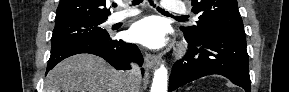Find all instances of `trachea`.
<instances>
[{
    "mask_svg": "<svg viewBox=\"0 0 289 92\" xmlns=\"http://www.w3.org/2000/svg\"><path fill=\"white\" fill-rule=\"evenodd\" d=\"M143 0H134L133 1V5H137V4H139V3H141ZM150 4L151 5H153V2L152 1H150ZM117 5L116 4H114L113 5V7H116ZM159 11H161V12H163V13H167V12H165L163 9H160L159 7L157 8ZM168 14V13H167ZM180 18H186V16H179Z\"/></svg>",
    "mask_w": 289,
    "mask_h": 92,
    "instance_id": "trachea-1",
    "label": "trachea"
}]
</instances>
